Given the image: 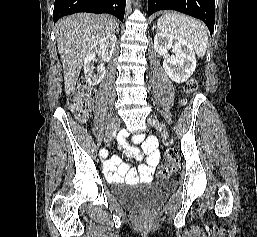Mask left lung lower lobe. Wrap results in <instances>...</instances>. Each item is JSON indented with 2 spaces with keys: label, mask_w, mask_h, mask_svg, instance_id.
<instances>
[{
  "label": "left lung lower lobe",
  "mask_w": 257,
  "mask_h": 237,
  "mask_svg": "<svg viewBox=\"0 0 257 237\" xmlns=\"http://www.w3.org/2000/svg\"><path fill=\"white\" fill-rule=\"evenodd\" d=\"M176 10L205 22L210 34L214 31L215 0H149L148 15L159 10Z\"/></svg>",
  "instance_id": "left-lung-lower-lobe-1"
}]
</instances>
